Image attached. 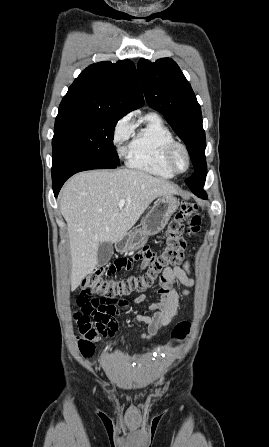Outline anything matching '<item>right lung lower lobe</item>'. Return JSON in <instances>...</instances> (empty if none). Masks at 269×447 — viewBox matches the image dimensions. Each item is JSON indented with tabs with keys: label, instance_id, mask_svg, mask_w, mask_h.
Listing matches in <instances>:
<instances>
[{
	"label": "right lung lower lobe",
	"instance_id": "1",
	"mask_svg": "<svg viewBox=\"0 0 269 447\" xmlns=\"http://www.w3.org/2000/svg\"><path fill=\"white\" fill-rule=\"evenodd\" d=\"M117 166L63 151L53 153L52 182L54 195L57 197L64 182L76 172L90 169L116 168Z\"/></svg>",
	"mask_w": 269,
	"mask_h": 447
}]
</instances>
